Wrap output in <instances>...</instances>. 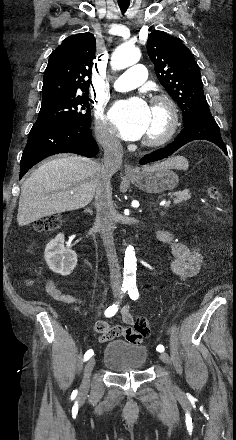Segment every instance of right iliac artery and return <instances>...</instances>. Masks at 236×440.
<instances>
[{"instance_id": "82829eb1", "label": "right iliac artery", "mask_w": 236, "mask_h": 440, "mask_svg": "<svg viewBox=\"0 0 236 440\" xmlns=\"http://www.w3.org/2000/svg\"><path fill=\"white\" fill-rule=\"evenodd\" d=\"M128 290L127 286H123L121 288V293H125ZM119 309V303L118 304H113L111 306H109L106 310H105V316L106 317H112L116 314V312ZM94 354L93 350L90 349L88 350L85 354H84V361H87L90 357H92V355Z\"/></svg>"}]
</instances>
